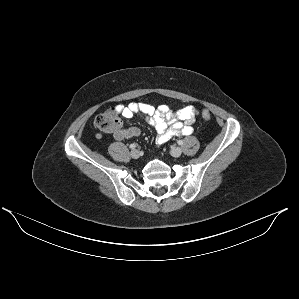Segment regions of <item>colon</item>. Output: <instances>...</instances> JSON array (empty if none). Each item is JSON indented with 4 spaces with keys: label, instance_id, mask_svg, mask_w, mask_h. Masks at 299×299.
<instances>
[{
    "label": "colon",
    "instance_id": "1",
    "mask_svg": "<svg viewBox=\"0 0 299 299\" xmlns=\"http://www.w3.org/2000/svg\"><path fill=\"white\" fill-rule=\"evenodd\" d=\"M202 117L205 120L211 118L208 110L202 111ZM96 127L102 132L115 133L120 130L121 122L116 110L109 109L101 113L95 120Z\"/></svg>",
    "mask_w": 299,
    "mask_h": 299
}]
</instances>
